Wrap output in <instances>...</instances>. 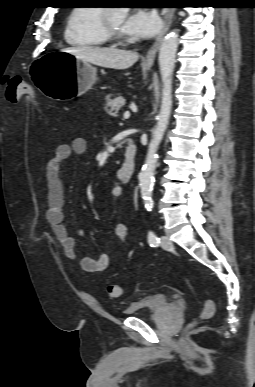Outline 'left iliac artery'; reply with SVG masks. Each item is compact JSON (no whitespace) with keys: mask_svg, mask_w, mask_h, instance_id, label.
Returning a JSON list of instances; mask_svg holds the SVG:
<instances>
[{"mask_svg":"<svg viewBox=\"0 0 255 387\" xmlns=\"http://www.w3.org/2000/svg\"><path fill=\"white\" fill-rule=\"evenodd\" d=\"M148 243L151 247H157L160 243V239L153 231L148 232Z\"/></svg>","mask_w":255,"mask_h":387,"instance_id":"44dca946","label":"left iliac artery"}]
</instances>
